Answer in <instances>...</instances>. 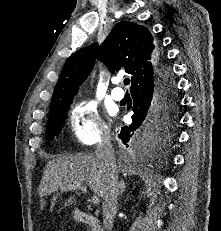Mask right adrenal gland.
Segmentation results:
<instances>
[{
    "label": "right adrenal gland",
    "mask_w": 221,
    "mask_h": 231,
    "mask_svg": "<svg viewBox=\"0 0 221 231\" xmlns=\"http://www.w3.org/2000/svg\"><path fill=\"white\" fill-rule=\"evenodd\" d=\"M119 187H120V195H122L123 192L125 191V183L123 180L120 181Z\"/></svg>",
    "instance_id": "right-adrenal-gland-1"
}]
</instances>
